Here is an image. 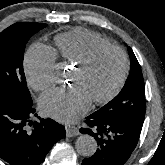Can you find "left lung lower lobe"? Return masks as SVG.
<instances>
[{
  "instance_id": "1",
  "label": "left lung lower lobe",
  "mask_w": 165,
  "mask_h": 165,
  "mask_svg": "<svg viewBox=\"0 0 165 165\" xmlns=\"http://www.w3.org/2000/svg\"><path fill=\"white\" fill-rule=\"evenodd\" d=\"M85 122L87 128H81L80 132L93 136L98 149L81 165H123L135 149L142 130V125L91 116Z\"/></svg>"
}]
</instances>
